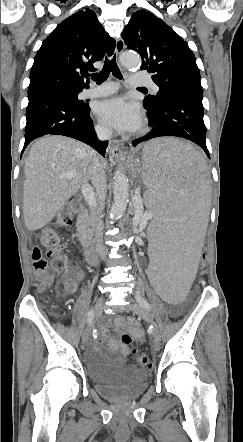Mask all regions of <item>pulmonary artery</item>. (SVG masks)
I'll list each match as a JSON object with an SVG mask.
<instances>
[{
	"label": "pulmonary artery",
	"mask_w": 243,
	"mask_h": 442,
	"mask_svg": "<svg viewBox=\"0 0 243 442\" xmlns=\"http://www.w3.org/2000/svg\"><path fill=\"white\" fill-rule=\"evenodd\" d=\"M130 84L132 86H148L154 93L158 92L159 90L158 86L152 80L143 77V75L139 73H133L131 75ZM115 90L116 86L111 83H108L101 85L99 87H93L84 90L82 92V98L88 99V98L103 97L113 93Z\"/></svg>",
	"instance_id": "obj_1"
}]
</instances>
